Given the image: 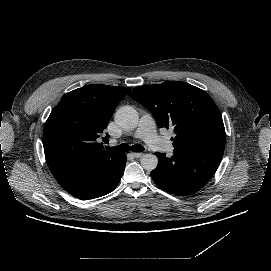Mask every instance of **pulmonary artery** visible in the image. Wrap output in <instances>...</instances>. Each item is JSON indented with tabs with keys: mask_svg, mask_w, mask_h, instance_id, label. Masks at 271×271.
Here are the masks:
<instances>
[{
	"mask_svg": "<svg viewBox=\"0 0 271 271\" xmlns=\"http://www.w3.org/2000/svg\"><path fill=\"white\" fill-rule=\"evenodd\" d=\"M136 138L143 139L146 143L152 144L154 141L159 140L156 129L155 123L153 118L149 114H144L139 121L138 128L134 134ZM111 144L116 143V140L111 139ZM166 152L171 154L173 152V147L169 143L166 149Z\"/></svg>",
	"mask_w": 271,
	"mask_h": 271,
	"instance_id": "1",
	"label": "pulmonary artery"
}]
</instances>
